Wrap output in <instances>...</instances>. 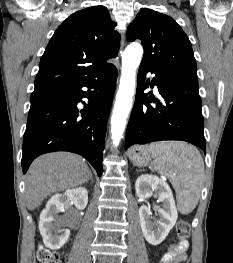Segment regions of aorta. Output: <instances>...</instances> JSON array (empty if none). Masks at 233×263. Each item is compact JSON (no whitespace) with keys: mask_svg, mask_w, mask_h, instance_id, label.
<instances>
[{"mask_svg":"<svg viewBox=\"0 0 233 263\" xmlns=\"http://www.w3.org/2000/svg\"><path fill=\"white\" fill-rule=\"evenodd\" d=\"M143 55V48L138 43H131L122 55V71L120 85L116 95L111 118V135L113 144L117 146L124 133L135 90L136 69Z\"/></svg>","mask_w":233,"mask_h":263,"instance_id":"1","label":"aorta"}]
</instances>
